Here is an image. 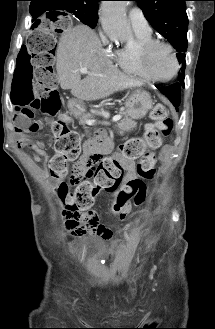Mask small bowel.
<instances>
[{"instance_id": "c3829d8e", "label": "small bowel", "mask_w": 215, "mask_h": 329, "mask_svg": "<svg viewBox=\"0 0 215 329\" xmlns=\"http://www.w3.org/2000/svg\"><path fill=\"white\" fill-rule=\"evenodd\" d=\"M19 127L16 128L19 134L27 133L22 132ZM46 144L44 141H30L23 137L19 141V145L29 150L34 160L38 162H45L48 158L45 151ZM99 146L100 144L96 139L88 140L84 145V154L74 169L83 167L91 155H98L101 152ZM123 167L127 170L126 182H122L121 187H118V192L112 199L113 203L106 210L107 215H113L114 219H125L131 208H143V199H147V194H149L148 183L143 182L142 178H137V168L134 161L125 160ZM67 225L74 229L75 236H82L87 230L92 234L108 239L113 236L112 232L100 223L98 213L93 210L83 215H72Z\"/></svg>"}]
</instances>
